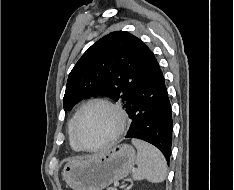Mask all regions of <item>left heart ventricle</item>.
Masks as SVG:
<instances>
[{
  "label": "left heart ventricle",
  "mask_w": 234,
  "mask_h": 190,
  "mask_svg": "<svg viewBox=\"0 0 234 190\" xmlns=\"http://www.w3.org/2000/svg\"><path fill=\"white\" fill-rule=\"evenodd\" d=\"M116 128L117 119L113 112L96 105L82 115L76 135L82 145L93 147L109 139Z\"/></svg>",
  "instance_id": "obj_1"
}]
</instances>
